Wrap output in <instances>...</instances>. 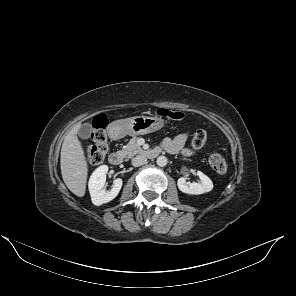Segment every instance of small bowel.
Returning a JSON list of instances; mask_svg holds the SVG:
<instances>
[{"label":"small bowel","mask_w":296,"mask_h":296,"mask_svg":"<svg viewBox=\"0 0 296 296\" xmlns=\"http://www.w3.org/2000/svg\"><path fill=\"white\" fill-rule=\"evenodd\" d=\"M188 132L180 133L174 138H166L162 142L163 148L170 154H183L185 156L194 155L195 152L187 147L185 144L189 139Z\"/></svg>","instance_id":"small-bowel-1"}]
</instances>
